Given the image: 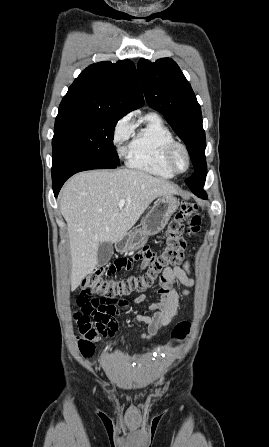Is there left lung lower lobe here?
<instances>
[{
  "label": "left lung lower lobe",
  "mask_w": 269,
  "mask_h": 447,
  "mask_svg": "<svg viewBox=\"0 0 269 447\" xmlns=\"http://www.w3.org/2000/svg\"><path fill=\"white\" fill-rule=\"evenodd\" d=\"M191 191L199 197L207 198L206 193L202 189V187H196V188L192 189Z\"/></svg>",
  "instance_id": "1"
}]
</instances>
